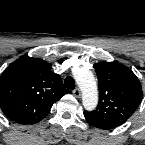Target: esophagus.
<instances>
[{"label":"esophagus","mask_w":145,"mask_h":145,"mask_svg":"<svg viewBox=\"0 0 145 145\" xmlns=\"http://www.w3.org/2000/svg\"><path fill=\"white\" fill-rule=\"evenodd\" d=\"M73 95L77 98H80L81 97V92L78 88H76L74 91H73Z\"/></svg>","instance_id":"34e87169"}]
</instances>
